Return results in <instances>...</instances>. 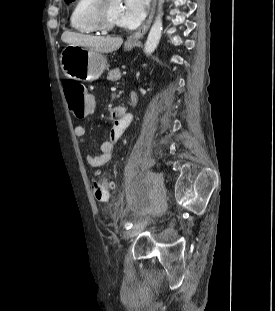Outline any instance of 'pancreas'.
Returning a JSON list of instances; mask_svg holds the SVG:
<instances>
[{
  "mask_svg": "<svg viewBox=\"0 0 275 311\" xmlns=\"http://www.w3.org/2000/svg\"><path fill=\"white\" fill-rule=\"evenodd\" d=\"M121 77V72L119 68L110 70L107 76V79L110 81H117Z\"/></svg>",
  "mask_w": 275,
  "mask_h": 311,
  "instance_id": "cf45deb5",
  "label": "pancreas"
}]
</instances>
